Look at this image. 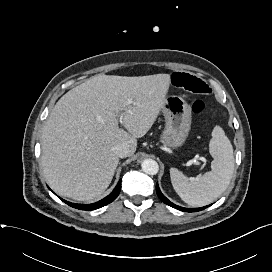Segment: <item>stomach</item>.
<instances>
[{
	"instance_id": "stomach-1",
	"label": "stomach",
	"mask_w": 272,
	"mask_h": 272,
	"mask_svg": "<svg viewBox=\"0 0 272 272\" xmlns=\"http://www.w3.org/2000/svg\"><path fill=\"white\" fill-rule=\"evenodd\" d=\"M165 117V129L161 135L162 141L171 148L184 144L191 127V109L180 96L171 95L166 98L162 108Z\"/></svg>"
}]
</instances>
